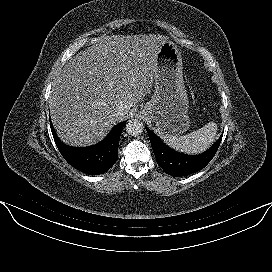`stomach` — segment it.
Returning <instances> with one entry per match:
<instances>
[{"label": "stomach", "instance_id": "stomach-1", "mask_svg": "<svg viewBox=\"0 0 272 272\" xmlns=\"http://www.w3.org/2000/svg\"><path fill=\"white\" fill-rule=\"evenodd\" d=\"M188 108L181 52L168 40L157 56L155 93L142 111L155 122L160 135L166 136L181 134L189 128Z\"/></svg>", "mask_w": 272, "mask_h": 272}]
</instances>
